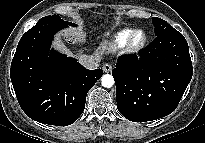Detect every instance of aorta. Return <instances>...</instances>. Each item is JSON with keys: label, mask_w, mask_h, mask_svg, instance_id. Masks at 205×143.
Returning a JSON list of instances; mask_svg holds the SVG:
<instances>
[{"label": "aorta", "mask_w": 205, "mask_h": 143, "mask_svg": "<svg viewBox=\"0 0 205 143\" xmlns=\"http://www.w3.org/2000/svg\"><path fill=\"white\" fill-rule=\"evenodd\" d=\"M102 86L110 88L114 85V78L110 74H105L101 78Z\"/></svg>", "instance_id": "762f6f07"}]
</instances>
